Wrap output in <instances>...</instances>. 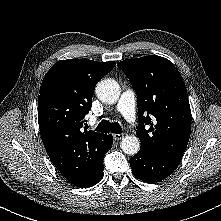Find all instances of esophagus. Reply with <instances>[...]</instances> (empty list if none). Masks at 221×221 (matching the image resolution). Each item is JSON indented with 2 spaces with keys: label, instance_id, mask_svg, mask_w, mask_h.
Segmentation results:
<instances>
[{
  "label": "esophagus",
  "instance_id": "1",
  "mask_svg": "<svg viewBox=\"0 0 221 221\" xmlns=\"http://www.w3.org/2000/svg\"><path fill=\"white\" fill-rule=\"evenodd\" d=\"M124 137V134H113V138L115 141H119Z\"/></svg>",
  "mask_w": 221,
  "mask_h": 221
}]
</instances>
